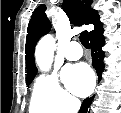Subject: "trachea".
Listing matches in <instances>:
<instances>
[{"instance_id": "1", "label": "trachea", "mask_w": 121, "mask_h": 113, "mask_svg": "<svg viewBox=\"0 0 121 113\" xmlns=\"http://www.w3.org/2000/svg\"><path fill=\"white\" fill-rule=\"evenodd\" d=\"M79 39L82 45L85 46V48H89V38L87 32H82L79 36Z\"/></svg>"}]
</instances>
